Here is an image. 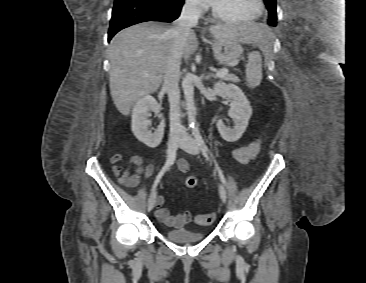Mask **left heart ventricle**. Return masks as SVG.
Returning <instances> with one entry per match:
<instances>
[{"label": "left heart ventricle", "mask_w": 366, "mask_h": 283, "mask_svg": "<svg viewBox=\"0 0 366 283\" xmlns=\"http://www.w3.org/2000/svg\"><path fill=\"white\" fill-rule=\"evenodd\" d=\"M215 7L224 15L235 18H248L257 13V0H215Z\"/></svg>", "instance_id": "1"}]
</instances>
